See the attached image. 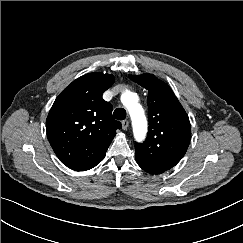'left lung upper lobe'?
<instances>
[{"mask_svg": "<svg viewBox=\"0 0 243 243\" xmlns=\"http://www.w3.org/2000/svg\"><path fill=\"white\" fill-rule=\"evenodd\" d=\"M148 90L149 131L144 143L135 144V158L147 173L161 174L185 155L191 139L187 113L171 88L154 75H131Z\"/></svg>", "mask_w": 243, "mask_h": 243, "instance_id": "1", "label": "left lung upper lobe"}]
</instances>
